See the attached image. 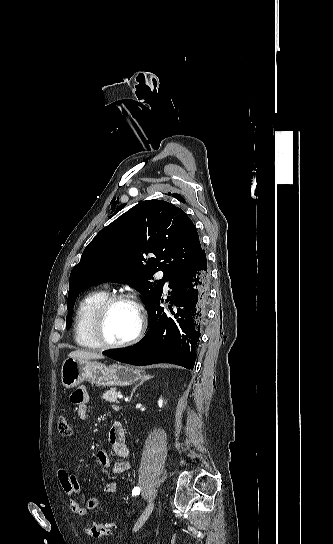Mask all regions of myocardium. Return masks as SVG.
<instances>
[{"mask_svg": "<svg viewBox=\"0 0 333 544\" xmlns=\"http://www.w3.org/2000/svg\"><path fill=\"white\" fill-rule=\"evenodd\" d=\"M118 302H127L131 304L137 311L139 321L135 333L129 339L118 343H112L107 341L104 336V322L109 309ZM146 324V313L139 300L130 294L116 293L108 295L96 308L91 320V335L100 348H125L135 344L142 337Z\"/></svg>", "mask_w": 333, "mask_h": 544, "instance_id": "obj_1", "label": "myocardium"}]
</instances>
